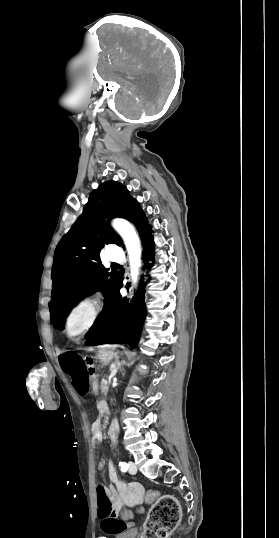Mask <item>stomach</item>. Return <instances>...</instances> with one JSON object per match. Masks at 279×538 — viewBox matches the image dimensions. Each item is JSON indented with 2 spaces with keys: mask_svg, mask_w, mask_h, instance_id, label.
<instances>
[{
  "mask_svg": "<svg viewBox=\"0 0 279 538\" xmlns=\"http://www.w3.org/2000/svg\"><path fill=\"white\" fill-rule=\"evenodd\" d=\"M115 356L116 354H114V352L101 353L99 360L101 364H104V366H106V364H112ZM93 391H95V393H98V386H93Z\"/></svg>",
  "mask_w": 279,
  "mask_h": 538,
  "instance_id": "obj_1",
  "label": "stomach"
}]
</instances>
